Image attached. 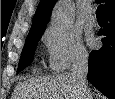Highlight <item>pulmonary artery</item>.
<instances>
[{
	"instance_id": "e3ab8cb5",
	"label": "pulmonary artery",
	"mask_w": 115,
	"mask_h": 99,
	"mask_svg": "<svg viewBox=\"0 0 115 99\" xmlns=\"http://www.w3.org/2000/svg\"><path fill=\"white\" fill-rule=\"evenodd\" d=\"M87 22H88V24H90L92 26L96 25L97 24V19H96L95 15L94 14H90L87 17Z\"/></svg>"
}]
</instances>
